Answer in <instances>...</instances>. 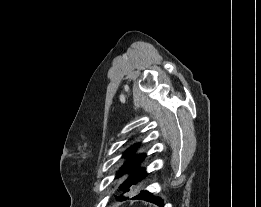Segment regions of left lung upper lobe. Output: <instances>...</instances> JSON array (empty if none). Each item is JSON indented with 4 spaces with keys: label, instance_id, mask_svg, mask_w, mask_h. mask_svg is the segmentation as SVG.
I'll return each mask as SVG.
<instances>
[{
    "label": "left lung upper lobe",
    "instance_id": "left-lung-upper-lobe-1",
    "mask_svg": "<svg viewBox=\"0 0 261 207\" xmlns=\"http://www.w3.org/2000/svg\"><path fill=\"white\" fill-rule=\"evenodd\" d=\"M139 146H140L139 144H134L124 153V156L133 154ZM145 157L146 155L141 154V155H134L133 157L127 159L125 164L118 172L117 177L122 176L123 174L128 172H132V174L125 182L121 184V186L119 187L120 190L125 192L128 191L131 185L137 184L147 176V172L144 169L138 168L139 164L144 160ZM119 198L121 197H118L117 199Z\"/></svg>",
    "mask_w": 261,
    "mask_h": 207
}]
</instances>
